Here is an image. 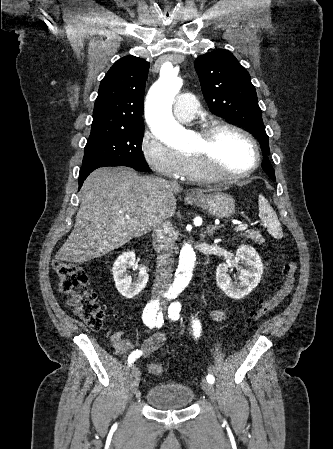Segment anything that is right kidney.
<instances>
[{"mask_svg": "<svg viewBox=\"0 0 333 449\" xmlns=\"http://www.w3.org/2000/svg\"><path fill=\"white\" fill-rule=\"evenodd\" d=\"M133 268L136 270L139 268V274L135 281H132L127 273V269ZM112 273L115 281V286L118 292L127 299L134 298L139 294L146 286L149 275L146 267L139 266L135 262L134 252H124L115 261Z\"/></svg>", "mask_w": 333, "mask_h": 449, "instance_id": "right-kidney-1", "label": "right kidney"}]
</instances>
